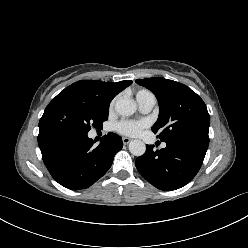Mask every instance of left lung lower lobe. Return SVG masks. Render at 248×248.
Returning <instances> with one entry per match:
<instances>
[{
    "label": "left lung lower lobe",
    "mask_w": 248,
    "mask_h": 248,
    "mask_svg": "<svg viewBox=\"0 0 248 248\" xmlns=\"http://www.w3.org/2000/svg\"><path fill=\"white\" fill-rule=\"evenodd\" d=\"M165 142L166 147L156 151L153 145H147L146 152L136 159L135 165L153 186L171 191L185 186L198 173L209 138L179 137Z\"/></svg>",
    "instance_id": "0a47b994"
}]
</instances>
